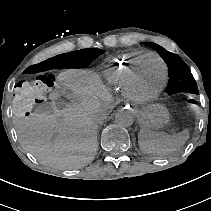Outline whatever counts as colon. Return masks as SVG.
Returning <instances> with one entry per match:
<instances>
[{
  "instance_id": "1",
  "label": "colon",
  "mask_w": 211,
  "mask_h": 211,
  "mask_svg": "<svg viewBox=\"0 0 211 211\" xmlns=\"http://www.w3.org/2000/svg\"><path fill=\"white\" fill-rule=\"evenodd\" d=\"M54 85L55 77L49 73H43L32 80L20 81L14 91V113L19 117L29 116L45 100Z\"/></svg>"
}]
</instances>
